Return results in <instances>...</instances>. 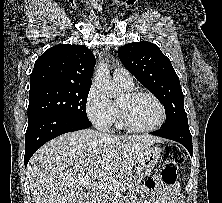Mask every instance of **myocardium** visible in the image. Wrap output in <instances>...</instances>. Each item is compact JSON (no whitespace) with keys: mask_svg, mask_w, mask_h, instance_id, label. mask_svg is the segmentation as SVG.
Listing matches in <instances>:
<instances>
[{"mask_svg":"<svg viewBox=\"0 0 222 203\" xmlns=\"http://www.w3.org/2000/svg\"><path fill=\"white\" fill-rule=\"evenodd\" d=\"M124 96L127 100H133V99H136V98L142 97V96L149 97L158 105L160 112H161V118L157 124H155L151 127H139L136 124H134L133 121L130 119L126 109L121 104L118 103V112H119L121 122L124 125V127H126L127 129L134 131V132H141V133L153 132V131L159 129L165 123L166 109H165L163 103L154 94H152L150 92H144V91H136V92L130 91V92H126L124 94Z\"/></svg>","mask_w":222,"mask_h":203,"instance_id":"myocardium-1","label":"myocardium"}]
</instances>
